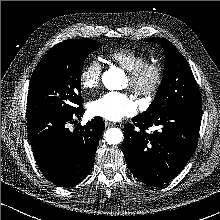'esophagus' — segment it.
Segmentation results:
<instances>
[{"instance_id":"obj_1","label":"esophagus","mask_w":220,"mask_h":220,"mask_svg":"<svg viewBox=\"0 0 220 220\" xmlns=\"http://www.w3.org/2000/svg\"><path fill=\"white\" fill-rule=\"evenodd\" d=\"M104 123H105L106 127H110V126H114V125H115V123L110 122V121H108V120H105Z\"/></svg>"}]
</instances>
